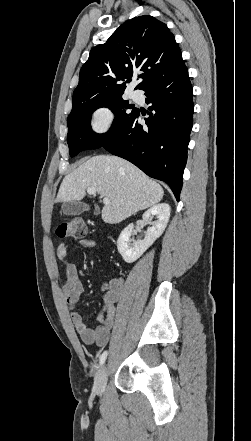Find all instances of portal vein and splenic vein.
I'll list each match as a JSON object with an SVG mask.
<instances>
[{"label":"portal vein and splenic vein","mask_w":251,"mask_h":441,"mask_svg":"<svg viewBox=\"0 0 251 441\" xmlns=\"http://www.w3.org/2000/svg\"><path fill=\"white\" fill-rule=\"evenodd\" d=\"M96 192H97V190H96V188H94V187H91V188H88V189H87V193L90 194V195H94ZM103 203H104L105 205H106V204H109V203H110V200H109L108 198L104 197V198H103Z\"/></svg>","instance_id":"obj_1"}]
</instances>
